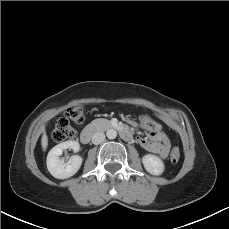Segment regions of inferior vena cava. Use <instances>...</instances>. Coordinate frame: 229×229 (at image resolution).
Listing matches in <instances>:
<instances>
[{"instance_id": "inferior-vena-cava-1", "label": "inferior vena cava", "mask_w": 229, "mask_h": 229, "mask_svg": "<svg viewBox=\"0 0 229 229\" xmlns=\"http://www.w3.org/2000/svg\"><path fill=\"white\" fill-rule=\"evenodd\" d=\"M104 140H105V134L103 132H96L92 136V143L95 145L102 143Z\"/></svg>"}]
</instances>
